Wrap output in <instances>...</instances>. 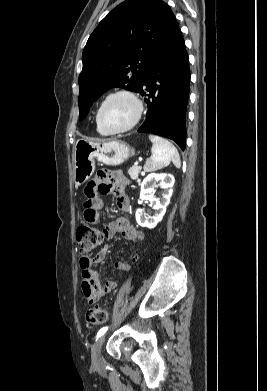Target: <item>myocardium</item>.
Returning <instances> with one entry per match:
<instances>
[{
	"mask_svg": "<svg viewBox=\"0 0 267 391\" xmlns=\"http://www.w3.org/2000/svg\"><path fill=\"white\" fill-rule=\"evenodd\" d=\"M117 96L128 97L134 103L135 115H134L132 121L128 125H126V126H124L122 128L113 129V128L108 127L103 122L102 111H103V108H104L105 104L110 99H112L114 97H117ZM142 114H143V103H142L141 99L139 98V96L135 92H133L132 90H129V89H117V90L112 91L109 94H107L104 97V99L101 101V103H100V105L98 107V110H97L96 120H97L99 126L105 132H107L109 134H118V133H123V132L129 131L132 128H134L137 125V123L139 122V120L141 119Z\"/></svg>",
	"mask_w": 267,
	"mask_h": 391,
	"instance_id": "myocardium-1",
	"label": "myocardium"
}]
</instances>
